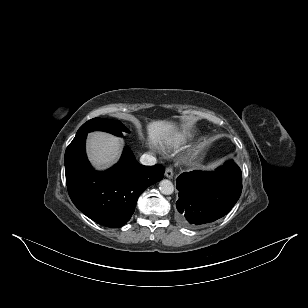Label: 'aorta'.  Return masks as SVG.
I'll return each instance as SVG.
<instances>
[{"label":"aorta","mask_w":308,"mask_h":308,"mask_svg":"<svg viewBox=\"0 0 308 308\" xmlns=\"http://www.w3.org/2000/svg\"><path fill=\"white\" fill-rule=\"evenodd\" d=\"M159 189L162 194L170 195L174 191V185L170 180L165 179L160 182Z\"/></svg>","instance_id":"762f6f07"}]
</instances>
